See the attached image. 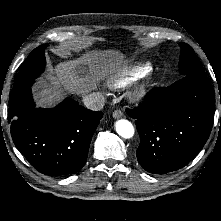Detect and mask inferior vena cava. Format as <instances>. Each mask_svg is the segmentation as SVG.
I'll list each match as a JSON object with an SVG mask.
<instances>
[{
  "label": "inferior vena cava",
  "instance_id": "inferior-vena-cava-1",
  "mask_svg": "<svg viewBox=\"0 0 221 221\" xmlns=\"http://www.w3.org/2000/svg\"><path fill=\"white\" fill-rule=\"evenodd\" d=\"M86 108L91 110H102L105 105V97L99 92H93L85 95L82 99Z\"/></svg>",
  "mask_w": 221,
  "mask_h": 221
}]
</instances>
